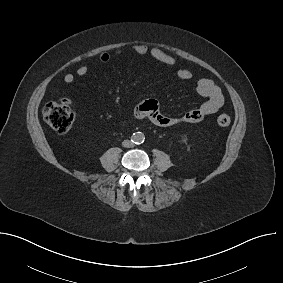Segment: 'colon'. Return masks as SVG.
<instances>
[{
	"mask_svg": "<svg viewBox=\"0 0 283 283\" xmlns=\"http://www.w3.org/2000/svg\"><path fill=\"white\" fill-rule=\"evenodd\" d=\"M42 114L48 125L59 134L67 133L75 119L71 101L67 97L48 102L43 107ZM217 123L221 127H227L231 123V118L227 114H221L217 118Z\"/></svg>",
	"mask_w": 283,
	"mask_h": 283,
	"instance_id": "colon-1",
	"label": "colon"
}]
</instances>
